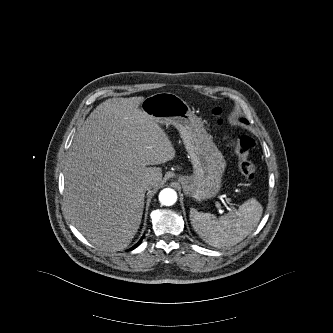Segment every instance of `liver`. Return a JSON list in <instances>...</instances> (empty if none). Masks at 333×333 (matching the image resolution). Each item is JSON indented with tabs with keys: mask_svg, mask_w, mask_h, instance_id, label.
<instances>
[{
	"mask_svg": "<svg viewBox=\"0 0 333 333\" xmlns=\"http://www.w3.org/2000/svg\"><path fill=\"white\" fill-rule=\"evenodd\" d=\"M144 99L112 98L97 106L68 153L66 212L80 233L104 251L131 243L149 190L144 182L154 178V188L162 180L161 168L152 166L175 158L164 130L139 109Z\"/></svg>",
	"mask_w": 333,
	"mask_h": 333,
	"instance_id": "liver-1",
	"label": "liver"
}]
</instances>
